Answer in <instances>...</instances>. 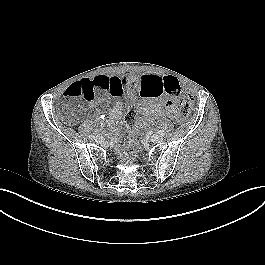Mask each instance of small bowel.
<instances>
[{"label":"small bowel","instance_id":"obj_1","mask_svg":"<svg viewBox=\"0 0 265 265\" xmlns=\"http://www.w3.org/2000/svg\"><path fill=\"white\" fill-rule=\"evenodd\" d=\"M163 77L164 76L160 73L150 72L140 77H122L102 74L91 79H86L90 81L105 80L107 83V92L114 97V106L109 112V120L103 123L99 121L98 118L96 127L98 129L104 126L111 127L115 121L121 118L123 105L119 97L124 100H129L130 103H135L137 97L141 96L143 101L140 104V111L144 114H148L151 111H173L175 109L174 104L164 99L162 94L152 96L160 87Z\"/></svg>","mask_w":265,"mask_h":265}]
</instances>
